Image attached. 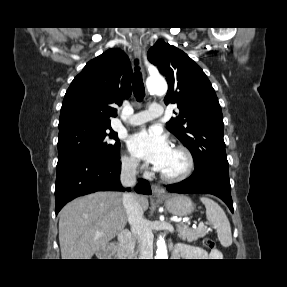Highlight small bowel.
Returning a JSON list of instances; mask_svg holds the SVG:
<instances>
[{
	"label": "small bowel",
	"mask_w": 287,
	"mask_h": 287,
	"mask_svg": "<svg viewBox=\"0 0 287 287\" xmlns=\"http://www.w3.org/2000/svg\"><path fill=\"white\" fill-rule=\"evenodd\" d=\"M173 257L176 259H187V260H197L206 259L209 256H218V252L208 253L202 248L193 247L185 244L176 245L172 253Z\"/></svg>",
	"instance_id": "c3829d8e"
}]
</instances>
